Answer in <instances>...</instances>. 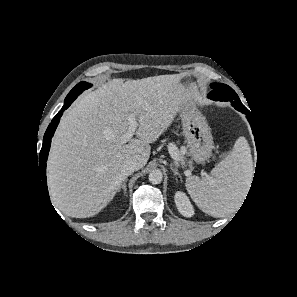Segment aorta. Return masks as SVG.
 I'll use <instances>...</instances> for the list:
<instances>
[{
    "instance_id": "762f6f07",
    "label": "aorta",
    "mask_w": 297,
    "mask_h": 297,
    "mask_svg": "<svg viewBox=\"0 0 297 297\" xmlns=\"http://www.w3.org/2000/svg\"><path fill=\"white\" fill-rule=\"evenodd\" d=\"M163 174L160 170L156 169L149 173V181L152 184H160L162 182Z\"/></svg>"
}]
</instances>
